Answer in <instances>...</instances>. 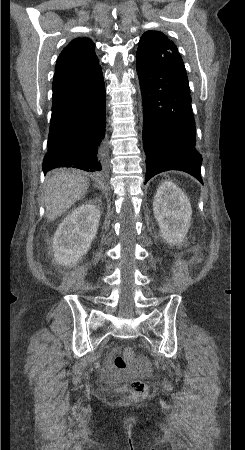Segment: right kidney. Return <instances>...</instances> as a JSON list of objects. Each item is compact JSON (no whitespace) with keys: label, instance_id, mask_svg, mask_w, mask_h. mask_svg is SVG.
Instances as JSON below:
<instances>
[{"label":"right kidney","instance_id":"right-kidney-1","mask_svg":"<svg viewBox=\"0 0 245 450\" xmlns=\"http://www.w3.org/2000/svg\"><path fill=\"white\" fill-rule=\"evenodd\" d=\"M99 220L100 211L90 203L78 206L66 216L53 237L54 260L63 266L76 264L88 252Z\"/></svg>","mask_w":245,"mask_h":450}]
</instances>
